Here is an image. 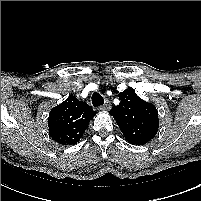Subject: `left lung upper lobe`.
Listing matches in <instances>:
<instances>
[{
    "label": "left lung upper lobe",
    "mask_w": 201,
    "mask_h": 201,
    "mask_svg": "<svg viewBox=\"0 0 201 201\" xmlns=\"http://www.w3.org/2000/svg\"><path fill=\"white\" fill-rule=\"evenodd\" d=\"M119 98L121 102L109 113L127 141L132 145H143L153 139L159 127L156 107L138 97L133 89L119 93Z\"/></svg>",
    "instance_id": "5c2ea615"
}]
</instances>
